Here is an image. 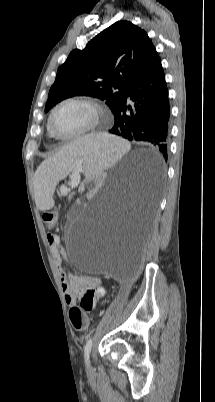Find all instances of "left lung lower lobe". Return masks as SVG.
Instances as JSON below:
<instances>
[{
  "instance_id": "left-lung-lower-lobe-1",
  "label": "left lung lower lobe",
  "mask_w": 215,
  "mask_h": 402,
  "mask_svg": "<svg viewBox=\"0 0 215 402\" xmlns=\"http://www.w3.org/2000/svg\"><path fill=\"white\" fill-rule=\"evenodd\" d=\"M127 98L131 104H127ZM113 114L115 122L110 133L129 141L150 143L167 160L170 104L160 58L130 83ZM162 174L160 165L159 172L148 176L150 189L155 190Z\"/></svg>"
}]
</instances>
